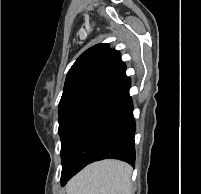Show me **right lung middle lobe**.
Instances as JSON below:
<instances>
[{
    "mask_svg": "<svg viewBox=\"0 0 201 194\" xmlns=\"http://www.w3.org/2000/svg\"><path fill=\"white\" fill-rule=\"evenodd\" d=\"M90 101L91 99H79L59 106V135L61 140L76 114Z\"/></svg>",
    "mask_w": 201,
    "mask_h": 194,
    "instance_id": "obj_1",
    "label": "right lung middle lobe"
}]
</instances>
